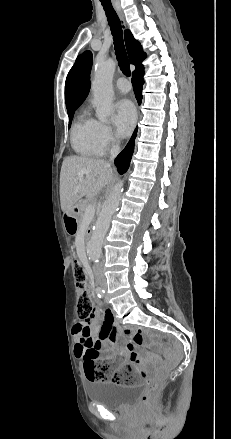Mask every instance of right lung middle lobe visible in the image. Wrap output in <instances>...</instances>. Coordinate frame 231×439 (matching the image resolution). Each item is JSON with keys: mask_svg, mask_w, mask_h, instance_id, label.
I'll list each match as a JSON object with an SVG mask.
<instances>
[{"mask_svg": "<svg viewBox=\"0 0 231 439\" xmlns=\"http://www.w3.org/2000/svg\"><path fill=\"white\" fill-rule=\"evenodd\" d=\"M76 109H77V108H73V109L68 110V116H69V118H70V121H69V127H70V125H71V120H72V118H73V114H74V112H75Z\"/></svg>", "mask_w": 231, "mask_h": 439, "instance_id": "1", "label": "right lung middle lobe"}]
</instances>
